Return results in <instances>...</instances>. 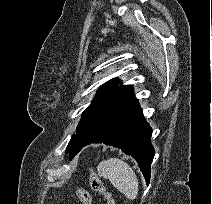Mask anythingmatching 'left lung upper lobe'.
I'll return each instance as SVG.
<instances>
[{
  "label": "left lung upper lobe",
  "instance_id": "left-lung-upper-lobe-1",
  "mask_svg": "<svg viewBox=\"0 0 212 204\" xmlns=\"http://www.w3.org/2000/svg\"><path fill=\"white\" fill-rule=\"evenodd\" d=\"M118 83V79H112L99 88L92 103L83 112L82 119L76 129V134L72 136L67 146L66 153H69L74 144L75 138L79 134L99 121L118 104L133 94L132 87L125 86L122 88H117Z\"/></svg>",
  "mask_w": 212,
  "mask_h": 204
}]
</instances>
